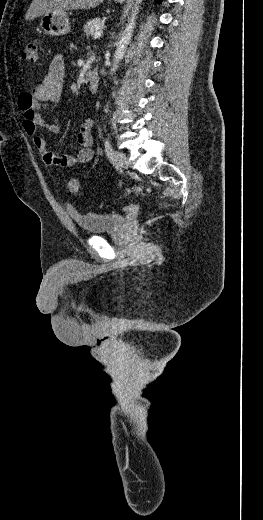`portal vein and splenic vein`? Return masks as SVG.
I'll return each instance as SVG.
<instances>
[{
  "mask_svg": "<svg viewBox=\"0 0 263 520\" xmlns=\"http://www.w3.org/2000/svg\"><path fill=\"white\" fill-rule=\"evenodd\" d=\"M102 34H103L102 30L96 31L95 34H94V39L100 38L102 36Z\"/></svg>",
  "mask_w": 263,
  "mask_h": 520,
  "instance_id": "1",
  "label": "portal vein and splenic vein"
}]
</instances>
